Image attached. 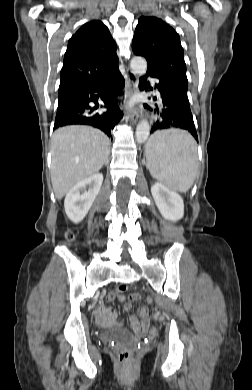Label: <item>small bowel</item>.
Returning a JSON list of instances; mask_svg holds the SVG:
<instances>
[{"instance_id": "small-bowel-1", "label": "small bowel", "mask_w": 252, "mask_h": 390, "mask_svg": "<svg viewBox=\"0 0 252 390\" xmlns=\"http://www.w3.org/2000/svg\"><path fill=\"white\" fill-rule=\"evenodd\" d=\"M118 298L122 301L125 300L122 292H111L107 296V300L111 301ZM125 310L128 312V323L132 330L139 336L144 335L149 328V310L146 306H141L138 309L137 315L131 313V305L126 304ZM95 316L98 321L106 324H112L117 321V312L112 308L105 306L98 307Z\"/></svg>"}]
</instances>
